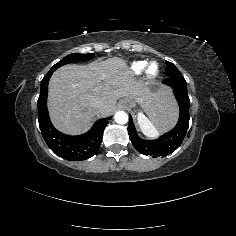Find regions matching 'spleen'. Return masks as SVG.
Instances as JSON below:
<instances>
[{
    "mask_svg": "<svg viewBox=\"0 0 236 236\" xmlns=\"http://www.w3.org/2000/svg\"><path fill=\"white\" fill-rule=\"evenodd\" d=\"M137 120L141 132L146 137L154 139L159 136V131L157 130L158 123L154 118L150 117L149 119L144 114L139 113Z\"/></svg>",
    "mask_w": 236,
    "mask_h": 236,
    "instance_id": "3e777b00",
    "label": "spleen"
}]
</instances>
